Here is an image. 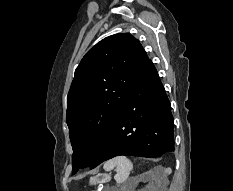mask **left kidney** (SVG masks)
Here are the masks:
<instances>
[{
	"mask_svg": "<svg viewBox=\"0 0 233 191\" xmlns=\"http://www.w3.org/2000/svg\"><path fill=\"white\" fill-rule=\"evenodd\" d=\"M157 177H158V175L156 173L150 171L147 176L141 175L140 179L146 180V181L151 180V179L157 180ZM155 188H156L155 184L152 182V183H149V185L147 186L146 189L141 190V191H156V190H153Z\"/></svg>",
	"mask_w": 233,
	"mask_h": 191,
	"instance_id": "5707ae66",
	"label": "left kidney"
}]
</instances>
